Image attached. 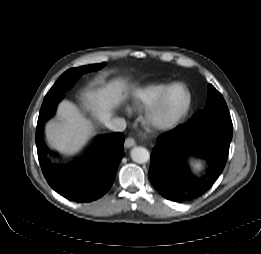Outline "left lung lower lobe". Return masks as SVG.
<instances>
[{"instance_id": "1", "label": "left lung lower lobe", "mask_w": 261, "mask_h": 254, "mask_svg": "<svg viewBox=\"0 0 261 254\" xmlns=\"http://www.w3.org/2000/svg\"><path fill=\"white\" fill-rule=\"evenodd\" d=\"M231 122L206 120L176 127L160 135L152 149L149 180L166 199L187 202L207 192L222 173L232 139ZM191 153L206 158L209 169L193 177L181 161Z\"/></svg>"}]
</instances>
